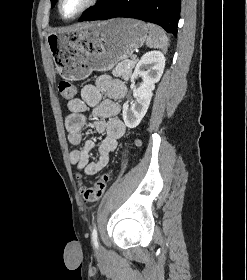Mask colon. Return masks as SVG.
I'll use <instances>...</instances> for the list:
<instances>
[{
  "label": "colon",
  "mask_w": 247,
  "mask_h": 280,
  "mask_svg": "<svg viewBox=\"0 0 247 280\" xmlns=\"http://www.w3.org/2000/svg\"><path fill=\"white\" fill-rule=\"evenodd\" d=\"M59 91L65 100H73L76 93L75 86L70 81L66 80L59 83ZM135 145L139 146L140 142L136 140ZM109 180L110 175L105 173L102 174L91 187L83 186L81 188L83 198L86 201H95L101 198Z\"/></svg>",
  "instance_id": "1"
}]
</instances>
